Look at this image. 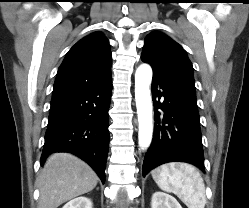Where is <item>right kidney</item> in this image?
<instances>
[{"label": "right kidney", "mask_w": 249, "mask_h": 208, "mask_svg": "<svg viewBox=\"0 0 249 208\" xmlns=\"http://www.w3.org/2000/svg\"><path fill=\"white\" fill-rule=\"evenodd\" d=\"M62 208H92V201L87 197H77L66 203Z\"/></svg>", "instance_id": "obj_1"}]
</instances>
